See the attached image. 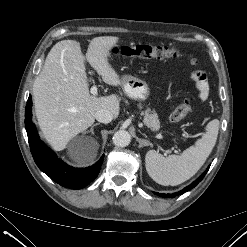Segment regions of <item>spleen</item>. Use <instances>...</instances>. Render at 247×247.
<instances>
[{
	"mask_svg": "<svg viewBox=\"0 0 247 247\" xmlns=\"http://www.w3.org/2000/svg\"><path fill=\"white\" fill-rule=\"evenodd\" d=\"M219 121L214 119L205 127V133L195 145L181 155L164 157L155 150L145 156V166L149 176L158 184L176 186L194 176L212 152L218 136Z\"/></svg>",
	"mask_w": 247,
	"mask_h": 247,
	"instance_id": "obj_1",
	"label": "spleen"
}]
</instances>
